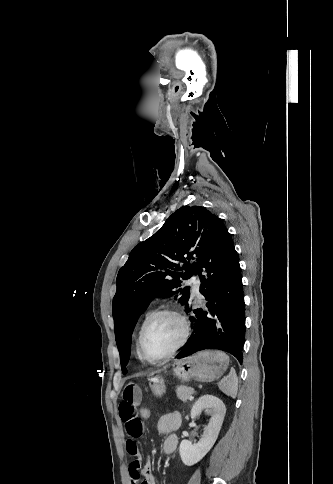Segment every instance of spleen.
Wrapping results in <instances>:
<instances>
[{
    "instance_id": "spleen-1",
    "label": "spleen",
    "mask_w": 333,
    "mask_h": 484,
    "mask_svg": "<svg viewBox=\"0 0 333 484\" xmlns=\"http://www.w3.org/2000/svg\"><path fill=\"white\" fill-rule=\"evenodd\" d=\"M218 387L224 394L230 396L231 398H235L237 396L238 379L234 369H231L230 373L221 379Z\"/></svg>"
}]
</instances>
